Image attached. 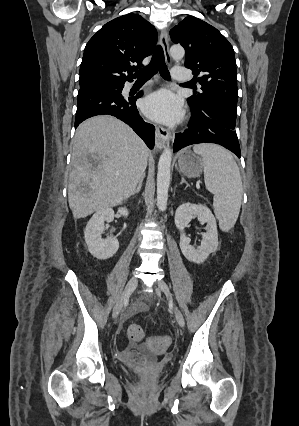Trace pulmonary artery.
<instances>
[{
	"mask_svg": "<svg viewBox=\"0 0 299 426\" xmlns=\"http://www.w3.org/2000/svg\"><path fill=\"white\" fill-rule=\"evenodd\" d=\"M172 77L178 81H185L188 79L185 69L180 66H174L172 68Z\"/></svg>",
	"mask_w": 299,
	"mask_h": 426,
	"instance_id": "obj_1",
	"label": "pulmonary artery"
}]
</instances>
